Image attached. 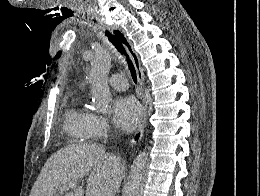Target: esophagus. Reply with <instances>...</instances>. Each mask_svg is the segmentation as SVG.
Listing matches in <instances>:
<instances>
[{"label":"esophagus","instance_id":"esophagus-1","mask_svg":"<svg viewBox=\"0 0 260 196\" xmlns=\"http://www.w3.org/2000/svg\"><path fill=\"white\" fill-rule=\"evenodd\" d=\"M118 31L122 34V36H120V38L123 42V46L134 63V66H135V69L137 72L138 82L141 86H144V74H143V70L141 68L139 56L136 53V51L134 50V47H133L131 41L126 37L125 33L121 29H118ZM142 111H143V118H142L139 128L137 129L133 138L131 139V145H135V144L139 143V141L141 140V138L143 136L145 127H146L147 103L145 100L142 101Z\"/></svg>","mask_w":260,"mask_h":196}]
</instances>
